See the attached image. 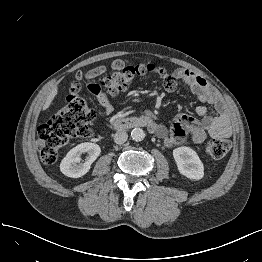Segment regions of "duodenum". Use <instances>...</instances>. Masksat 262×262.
Instances as JSON below:
<instances>
[{"instance_id": "obj_1", "label": "duodenum", "mask_w": 262, "mask_h": 262, "mask_svg": "<svg viewBox=\"0 0 262 262\" xmlns=\"http://www.w3.org/2000/svg\"><path fill=\"white\" fill-rule=\"evenodd\" d=\"M136 127H150V124L143 118L121 117L118 118L113 128L118 131L128 130Z\"/></svg>"}]
</instances>
